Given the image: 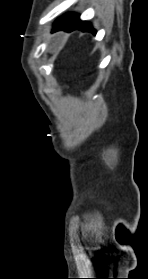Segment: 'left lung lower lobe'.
Returning a JSON list of instances; mask_svg holds the SVG:
<instances>
[{"instance_id": "obj_1", "label": "left lung lower lobe", "mask_w": 148, "mask_h": 279, "mask_svg": "<svg viewBox=\"0 0 148 279\" xmlns=\"http://www.w3.org/2000/svg\"><path fill=\"white\" fill-rule=\"evenodd\" d=\"M54 26L55 27L53 28L52 32L60 30L71 32L78 29L84 32L88 31L96 34V30L92 27L91 23L81 21L79 19V15L74 13L66 14L65 16L61 17L55 22Z\"/></svg>"}]
</instances>
